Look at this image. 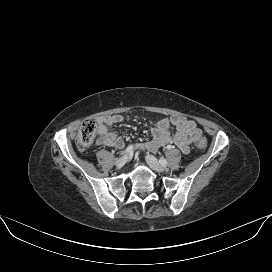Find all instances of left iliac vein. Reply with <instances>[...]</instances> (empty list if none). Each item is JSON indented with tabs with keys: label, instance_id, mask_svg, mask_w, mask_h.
Listing matches in <instances>:
<instances>
[{
	"label": "left iliac vein",
	"instance_id": "1",
	"mask_svg": "<svg viewBox=\"0 0 272 272\" xmlns=\"http://www.w3.org/2000/svg\"><path fill=\"white\" fill-rule=\"evenodd\" d=\"M146 161L148 163V165L156 172H164L165 171V167L162 166L158 160L152 156V155H147L146 156Z\"/></svg>",
	"mask_w": 272,
	"mask_h": 272
}]
</instances>
